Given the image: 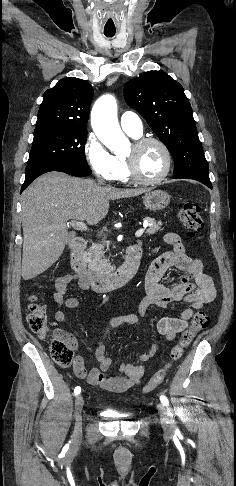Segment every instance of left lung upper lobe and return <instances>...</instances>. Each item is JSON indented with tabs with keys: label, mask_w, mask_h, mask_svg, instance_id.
Instances as JSON below:
<instances>
[{
	"label": "left lung upper lobe",
	"mask_w": 236,
	"mask_h": 486,
	"mask_svg": "<svg viewBox=\"0 0 236 486\" xmlns=\"http://www.w3.org/2000/svg\"><path fill=\"white\" fill-rule=\"evenodd\" d=\"M124 97L170 150L173 178L210 182L192 108L177 81L161 71L144 72L126 83Z\"/></svg>",
	"instance_id": "left-lung-upper-lobe-1"
}]
</instances>
